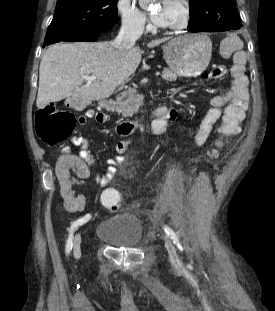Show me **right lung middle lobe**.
<instances>
[{
    "label": "right lung middle lobe",
    "mask_w": 275,
    "mask_h": 311,
    "mask_svg": "<svg viewBox=\"0 0 275 311\" xmlns=\"http://www.w3.org/2000/svg\"><path fill=\"white\" fill-rule=\"evenodd\" d=\"M117 1L58 0L45 42L62 40L85 31H108L117 19Z\"/></svg>",
    "instance_id": "1"
}]
</instances>
